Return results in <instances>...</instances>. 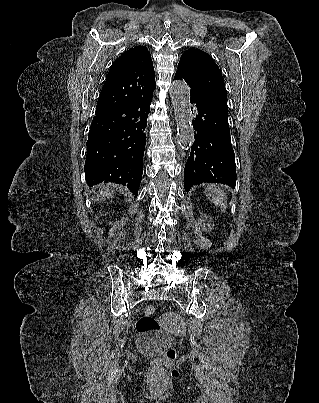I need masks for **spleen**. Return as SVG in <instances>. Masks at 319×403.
<instances>
[{
  "label": "spleen",
  "instance_id": "1",
  "mask_svg": "<svg viewBox=\"0 0 319 403\" xmlns=\"http://www.w3.org/2000/svg\"><path fill=\"white\" fill-rule=\"evenodd\" d=\"M205 196L216 206L220 207L223 212L227 208V196L225 192L216 185H209L205 188Z\"/></svg>",
  "mask_w": 319,
  "mask_h": 403
}]
</instances>
